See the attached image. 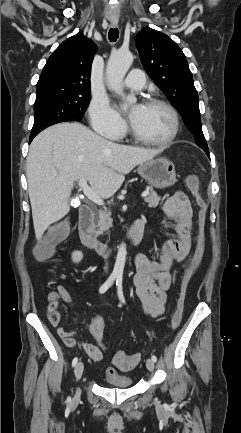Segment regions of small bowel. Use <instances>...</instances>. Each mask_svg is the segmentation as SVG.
I'll return each mask as SVG.
<instances>
[{"label":"small bowel","mask_w":241,"mask_h":433,"mask_svg":"<svg viewBox=\"0 0 241 433\" xmlns=\"http://www.w3.org/2000/svg\"><path fill=\"white\" fill-rule=\"evenodd\" d=\"M164 214L174 220L176 237L167 240L159 251L156 259L137 256L135 258L136 273L133 284L143 310L151 317L163 314L167 302L168 291L172 286L171 269L175 263L183 262L190 253L192 246V207L189 198L183 192H176L162 204ZM59 300L72 308V298L68 290L57 286L49 296L47 307L48 320L56 328L58 335L70 347L76 345L75 330H65L60 326L61 316L58 312ZM76 323V318H72ZM90 332L95 341L81 343L82 349L95 362L103 359L104 319L97 315L90 322ZM114 372L108 369L107 373Z\"/></svg>","instance_id":"small-bowel-1"}]
</instances>
